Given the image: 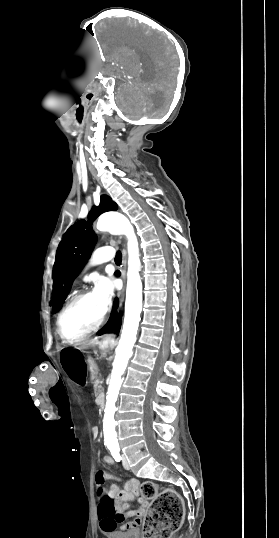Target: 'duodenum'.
I'll return each mask as SVG.
<instances>
[{
	"label": "duodenum",
	"instance_id": "410a0bca",
	"mask_svg": "<svg viewBox=\"0 0 279 538\" xmlns=\"http://www.w3.org/2000/svg\"><path fill=\"white\" fill-rule=\"evenodd\" d=\"M95 370H98V365H93V369H92V377L90 378V381L92 383H95L97 381V377L99 376V373ZM96 400H97V406H101V407H104L106 405V402L104 401V396L102 395H98L96 397Z\"/></svg>",
	"mask_w": 279,
	"mask_h": 538
}]
</instances>
